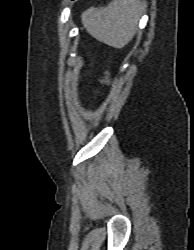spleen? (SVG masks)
I'll list each match as a JSON object with an SVG mask.
<instances>
[{
    "label": "spleen",
    "instance_id": "1",
    "mask_svg": "<svg viewBox=\"0 0 194 250\" xmlns=\"http://www.w3.org/2000/svg\"><path fill=\"white\" fill-rule=\"evenodd\" d=\"M142 10L140 0H113L106 7L85 11L82 22L98 41L122 48L134 37Z\"/></svg>",
    "mask_w": 194,
    "mask_h": 250
}]
</instances>
